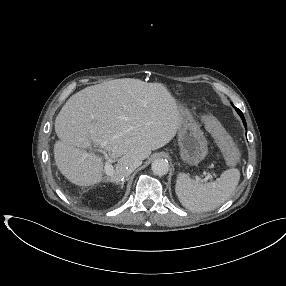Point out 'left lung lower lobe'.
I'll return each instance as SVG.
<instances>
[{"label":"left lung lower lobe","instance_id":"obj_1","mask_svg":"<svg viewBox=\"0 0 286 286\" xmlns=\"http://www.w3.org/2000/svg\"><path fill=\"white\" fill-rule=\"evenodd\" d=\"M235 110L240 115L241 119L243 120V124H244L245 128H247V124H246V121H245V118H244L242 112L238 108H235Z\"/></svg>","mask_w":286,"mask_h":286}]
</instances>
